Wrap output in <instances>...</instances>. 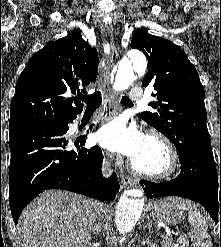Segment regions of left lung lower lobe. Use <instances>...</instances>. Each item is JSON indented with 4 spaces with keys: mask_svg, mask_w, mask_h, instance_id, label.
I'll return each instance as SVG.
<instances>
[{
    "mask_svg": "<svg viewBox=\"0 0 221 247\" xmlns=\"http://www.w3.org/2000/svg\"><path fill=\"white\" fill-rule=\"evenodd\" d=\"M181 173L174 180L153 183L141 180L149 198L180 196L200 203L212 219L221 223V168L216 169L210 137L197 140L179 153Z\"/></svg>",
    "mask_w": 221,
    "mask_h": 247,
    "instance_id": "obj_1",
    "label": "left lung lower lobe"
}]
</instances>
